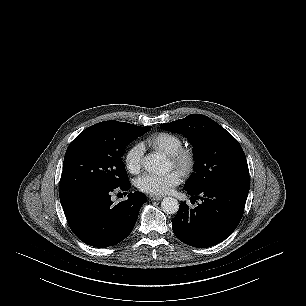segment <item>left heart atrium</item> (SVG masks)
<instances>
[{"label":"left heart atrium","mask_w":306,"mask_h":306,"mask_svg":"<svg viewBox=\"0 0 306 306\" xmlns=\"http://www.w3.org/2000/svg\"><path fill=\"white\" fill-rule=\"evenodd\" d=\"M182 181V174L178 170H172L165 174L147 173L137 180L140 191L152 195H164L173 190Z\"/></svg>","instance_id":"left-heart-atrium-1"}]
</instances>
